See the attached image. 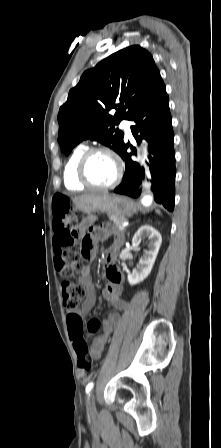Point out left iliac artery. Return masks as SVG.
<instances>
[{"mask_svg": "<svg viewBox=\"0 0 221 448\" xmlns=\"http://www.w3.org/2000/svg\"><path fill=\"white\" fill-rule=\"evenodd\" d=\"M93 385H94V384L91 382V383H89V384L86 386V393H87V394H89V392L92 390Z\"/></svg>", "mask_w": 221, "mask_h": 448, "instance_id": "left-iliac-artery-1", "label": "left iliac artery"}]
</instances>
